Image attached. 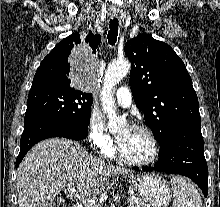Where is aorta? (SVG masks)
<instances>
[{"label":"aorta","instance_id":"762f6f07","mask_svg":"<svg viewBox=\"0 0 220 207\" xmlns=\"http://www.w3.org/2000/svg\"><path fill=\"white\" fill-rule=\"evenodd\" d=\"M131 64L129 61L114 62L108 66L103 80L101 90V105L103 112L107 115L110 131L117 130L126 121L118 117L115 112V104L112 95L113 88L128 74Z\"/></svg>","mask_w":220,"mask_h":207}]
</instances>
